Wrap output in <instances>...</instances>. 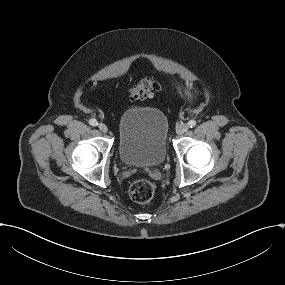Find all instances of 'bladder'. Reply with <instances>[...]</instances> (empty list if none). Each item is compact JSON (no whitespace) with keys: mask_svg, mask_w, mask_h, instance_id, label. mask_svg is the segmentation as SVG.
Segmentation results:
<instances>
[{"mask_svg":"<svg viewBox=\"0 0 285 285\" xmlns=\"http://www.w3.org/2000/svg\"><path fill=\"white\" fill-rule=\"evenodd\" d=\"M168 121L162 110L130 108L118 121V157L133 167L161 165L167 154Z\"/></svg>","mask_w":285,"mask_h":285,"instance_id":"obj_1","label":"bladder"}]
</instances>
